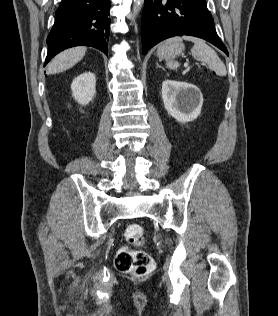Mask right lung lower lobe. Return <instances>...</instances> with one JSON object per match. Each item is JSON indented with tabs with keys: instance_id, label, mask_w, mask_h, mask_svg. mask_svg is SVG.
I'll return each instance as SVG.
<instances>
[{
	"instance_id": "right-lung-lower-lobe-1",
	"label": "right lung lower lobe",
	"mask_w": 278,
	"mask_h": 316,
	"mask_svg": "<svg viewBox=\"0 0 278 316\" xmlns=\"http://www.w3.org/2000/svg\"><path fill=\"white\" fill-rule=\"evenodd\" d=\"M110 0H62L48 38L44 66L60 51L73 46L108 52Z\"/></svg>"
}]
</instances>
